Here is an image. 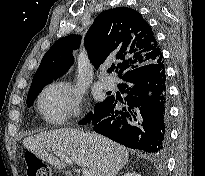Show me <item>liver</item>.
Wrapping results in <instances>:
<instances>
[{
  "label": "liver",
  "instance_id": "1",
  "mask_svg": "<svg viewBox=\"0 0 205 176\" xmlns=\"http://www.w3.org/2000/svg\"><path fill=\"white\" fill-rule=\"evenodd\" d=\"M23 145L40 159L57 169L65 164L48 151L69 155L91 176H115L129 159L128 149L98 134L77 129H56L27 137Z\"/></svg>",
  "mask_w": 205,
  "mask_h": 176
}]
</instances>
